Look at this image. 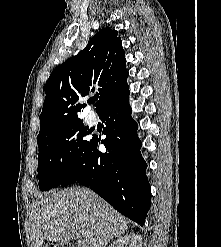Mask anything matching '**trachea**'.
<instances>
[{
	"instance_id": "1",
	"label": "trachea",
	"mask_w": 221,
	"mask_h": 247,
	"mask_svg": "<svg viewBox=\"0 0 221 247\" xmlns=\"http://www.w3.org/2000/svg\"><path fill=\"white\" fill-rule=\"evenodd\" d=\"M97 99H98V97H95V98L93 99V102L97 101Z\"/></svg>"
}]
</instances>
